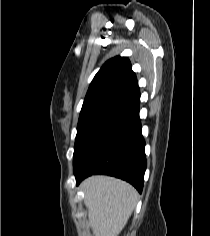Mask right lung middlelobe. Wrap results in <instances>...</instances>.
<instances>
[{"instance_id":"dd1d6c3e","label":"right lung middle lobe","mask_w":210,"mask_h":236,"mask_svg":"<svg viewBox=\"0 0 210 236\" xmlns=\"http://www.w3.org/2000/svg\"><path fill=\"white\" fill-rule=\"evenodd\" d=\"M133 92L117 90L111 94L84 103L79 116L74 155L92 130L110 113L118 108Z\"/></svg>"}]
</instances>
